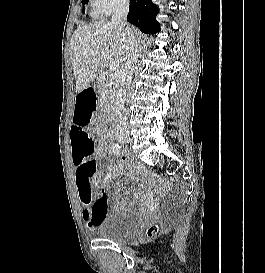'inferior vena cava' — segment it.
Listing matches in <instances>:
<instances>
[{
  "label": "inferior vena cava",
  "instance_id": "1",
  "mask_svg": "<svg viewBox=\"0 0 265 273\" xmlns=\"http://www.w3.org/2000/svg\"><path fill=\"white\" fill-rule=\"evenodd\" d=\"M129 11V0H121L112 16V23L117 26L126 39V58L125 65L121 72V80L123 85L126 86L127 90H130L132 84V77L135 71L136 63L138 61V45L131 28L127 24V14ZM117 133H127L128 132V118L124 114L118 121L116 126Z\"/></svg>",
  "mask_w": 265,
  "mask_h": 273
}]
</instances>
